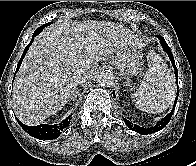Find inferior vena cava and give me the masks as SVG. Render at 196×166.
Here are the masks:
<instances>
[{"label": "inferior vena cava", "mask_w": 196, "mask_h": 166, "mask_svg": "<svg viewBox=\"0 0 196 166\" xmlns=\"http://www.w3.org/2000/svg\"><path fill=\"white\" fill-rule=\"evenodd\" d=\"M89 78H90V75L88 73H86V72H77L74 75V82L76 84H82Z\"/></svg>", "instance_id": "inferior-vena-cava-1"}]
</instances>
